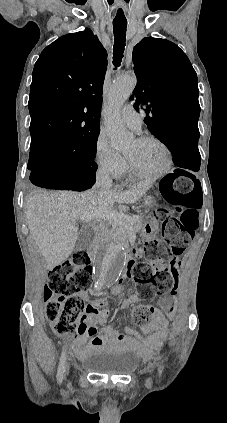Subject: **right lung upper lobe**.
Wrapping results in <instances>:
<instances>
[{"instance_id": "right-lung-upper-lobe-1", "label": "right lung upper lobe", "mask_w": 227, "mask_h": 423, "mask_svg": "<svg viewBox=\"0 0 227 423\" xmlns=\"http://www.w3.org/2000/svg\"><path fill=\"white\" fill-rule=\"evenodd\" d=\"M107 52L86 28L46 47L30 88V153L68 148L98 133Z\"/></svg>"}]
</instances>
